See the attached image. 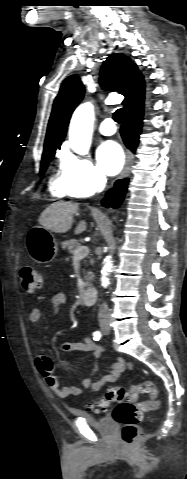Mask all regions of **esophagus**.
Instances as JSON below:
<instances>
[{
    "label": "esophagus",
    "instance_id": "1",
    "mask_svg": "<svg viewBox=\"0 0 187 479\" xmlns=\"http://www.w3.org/2000/svg\"><path fill=\"white\" fill-rule=\"evenodd\" d=\"M131 162H132V156H131V153L128 151L126 155V163L121 173L122 178L126 177L129 174Z\"/></svg>",
    "mask_w": 187,
    "mask_h": 479
}]
</instances>
